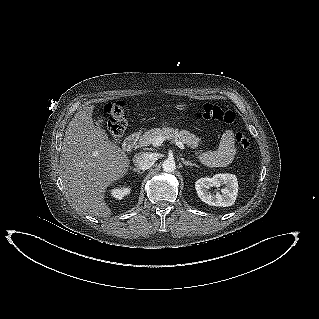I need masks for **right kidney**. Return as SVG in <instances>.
Listing matches in <instances>:
<instances>
[{"mask_svg":"<svg viewBox=\"0 0 319 319\" xmlns=\"http://www.w3.org/2000/svg\"><path fill=\"white\" fill-rule=\"evenodd\" d=\"M130 193L129 187H120V188H114L111 190V194L115 199L121 200L124 196L128 195Z\"/></svg>","mask_w":319,"mask_h":319,"instance_id":"1","label":"right kidney"}]
</instances>
